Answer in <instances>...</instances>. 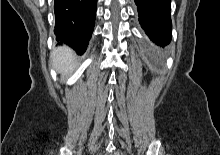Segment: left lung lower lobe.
I'll return each instance as SVG.
<instances>
[{
	"mask_svg": "<svg viewBox=\"0 0 220 155\" xmlns=\"http://www.w3.org/2000/svg\"><path fill=\"white\" fill-rule=\"evenodd\" d=\"M139 22L149 38L164 47L171 41L170 0H135Z\"/></svg>",
	"mask_w": 220,
	"mask_h": 155,
	"instance_id": "left-lung-lower-lobe-1",
	"label": "left lung lower lobe"
}]
</instances>
